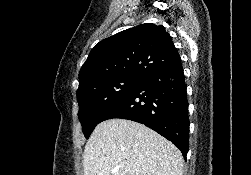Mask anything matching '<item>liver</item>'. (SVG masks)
I'll return each instance as SVG.
<instances>
[{"instance_id":"obj_1","label":"liver","mask_w":251,"mask_h":175,"mask_svg":"<svg viewBox=\"0 0 251 175\" xmlns=\"http://www.w3.org/2000/svg\"><path fill=\"white\" fill-rule=\"evenodd\" d=\"M84 175H183V155L171 141L131 119L96 125L84 149ZM111 169H118L111 173Z\"/></svg>"}]
</instances>
